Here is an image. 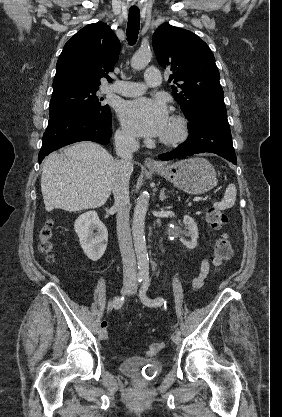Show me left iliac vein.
I'll list each match as a JSON object with an SVG mask.
<instances>
[{
	"label": "left iliac vein",
	"mask_w": 282,
	"mask_h": 417,
	"mask_svg": "<svg viewBox=\"0 0 282 417\" xmlns=\"http://www.w3.org/2000/svg\"><path fill=\"white\" fill-rule=\"evenodd\" d=\"M135 287L131 290V292L130 293H135ZM172 341L175 343V344H179L180 343V341H181V337H180V335H178V334H174V335H172Z\"/></svg>",
	"instance_id": "obj_1"
}]
</instances>
